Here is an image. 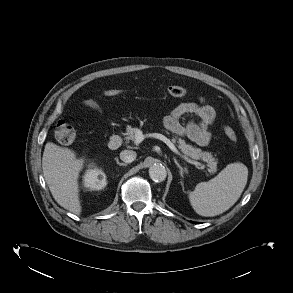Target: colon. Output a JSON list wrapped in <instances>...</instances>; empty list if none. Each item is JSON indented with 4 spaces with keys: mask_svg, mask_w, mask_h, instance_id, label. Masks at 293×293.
Listing matches in <instances>:
<instances>
[{
    "mask_svg": "<svg viewBox=\"0 0 293 293\" xmlns=\"http://www.w3.org/2000/svg\"><path fill=\"white\" fill-rule=\"evenodd\" d=\"M126 91L110 89L106 90L104 93L107 96H117L124 94ZM164 92L173 97H182L187 94V90L182 86H169L164 89ZM224 132L226 136L232 141H237V134L230 125L224 126ZM56 139L62 144H70L75 139V129L74 127L67 122L66 120H60L55 126L54 129Z\"/></svg>",
    "mask_w": 293,
    "mask_h": 293,
    "instance_id": "colon-1",
    "label": "colon"
}]
</instances>
